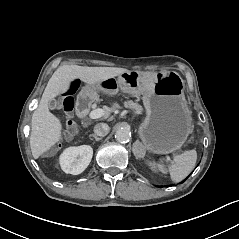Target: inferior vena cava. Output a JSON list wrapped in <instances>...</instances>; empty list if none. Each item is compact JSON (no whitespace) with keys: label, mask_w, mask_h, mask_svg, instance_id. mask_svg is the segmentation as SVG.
Masks as SVG:
<instances>
[{"label":"inferior vena cava","mask_w":239,"mask_h":239,"mask_svg":"<svg viewBox=\"0 0 239 239\" xmlns=\"http://www.w3.org/2000/svg\"><path fill=\"white\" fill-rule=\"evenodd\" d=\"M94 132L98 136H106L109 133V126L106 123H98L94 127Z\"/></svg>","instance_id":"inferior-vena-cava-1"}]
</instances>
